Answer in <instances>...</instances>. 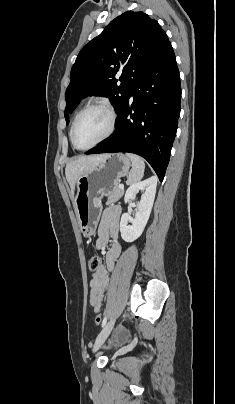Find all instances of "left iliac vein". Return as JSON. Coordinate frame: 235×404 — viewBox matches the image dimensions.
<instances>
[{"label": "left iliac vein", "mask_w": 235, "mask_h": 404, "mask_svg": "<svg viewBox=\"0 0 235 404\" xmlns=\"http://www.w3.org/2000/svg\"><path fill=\"white\" fill-rule=\"evenodd\" d=\"M115 324V319H111L102 329V331L99 333L94 347H93V351H97L102 345L103 343L106 341L107 337L109 336V334L111 333L113 327Z\"/></svg>", "instance_id": "obj_1"}]
</instances>
